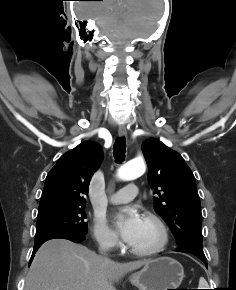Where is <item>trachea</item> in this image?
<instances>
[{
  "label": "trachea",
  "mask_w": 236,
  "mask_h": 290,
  "mask_svg": "<svg viewBox=\"0 0 236 290\" xmlns=\"http://www.w3.org/2000/svg\"><path fill=\"white\" fill-rule=\"evenodd\" d=\"M126 139L124 137L117 138L113 145V155L117 163H121L125 159Z\"/></svg>",
  "instance_id": "obj_1"
}]
</instances>
